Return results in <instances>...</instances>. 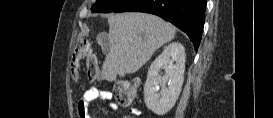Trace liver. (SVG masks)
<instances>
[{"instance_id":"obj_1","label":"liver","mask_w":273,"mask_h":118,"mask_svg":"<svg viewBox=\"0 0 273 118\" xmlns=\"http://www.w3.org/2000/svg\"><path fill=\"white\" fill-rule=\"evenodd\" d=\"M108 23L110 50L102 65L103 78L108 81L138 71L176 33L172 24L141 12L111 15Z\"/></svg>"}]
</instances>
